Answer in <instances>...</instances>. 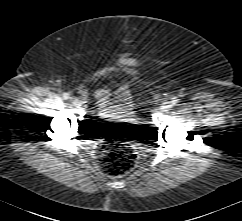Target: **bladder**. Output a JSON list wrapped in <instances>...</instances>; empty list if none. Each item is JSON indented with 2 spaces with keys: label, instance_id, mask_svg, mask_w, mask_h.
<instances>
[{
  "label": "bladder",
  "instance_id": "obj_1",
  "mask_svg": "<svg viewBox=\"0 0 242 221\" xmlns=\"http://www.w3.org/2000/svg\"><path fill=\"white\" fill-rule=\"evenodd\" d=\"M114 110L119 112V113H130L133 110V107H131L130 105L126 104V103H121V102H115L113 105Z\"/></svg>",
  "mask_w": 242,
  "mask_h": 221
}]
</instances>
